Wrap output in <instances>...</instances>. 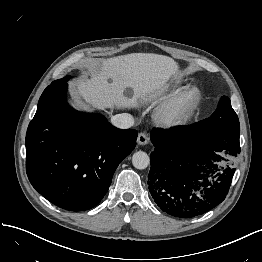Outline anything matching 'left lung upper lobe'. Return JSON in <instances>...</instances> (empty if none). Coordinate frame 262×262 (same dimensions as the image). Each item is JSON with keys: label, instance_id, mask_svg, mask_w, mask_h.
Returning a JSON list of instances; mask_svg holds the SVG:
<instances>
[{"label": "left lung upper lobe", "instance_id": "1", "mask_svg": "<svg viewBox=\"0 0 262 262\" xmlns=\"http://www.w3.org/2000/svg\"><path fill=\"white\" fill-rule=\"evenodd\" d=\"M196 129L209 132H226L227 130L240 131L237 114L231 107L230 99L223 96L216 111L207 119L193 124Z\"/></svg>", "mask_w": 262, "mask_h": 262}]
</instances>
